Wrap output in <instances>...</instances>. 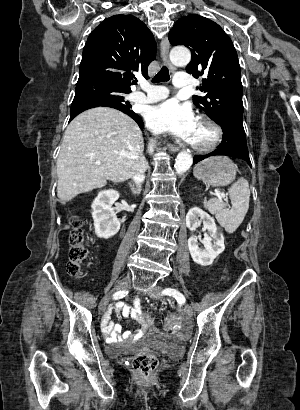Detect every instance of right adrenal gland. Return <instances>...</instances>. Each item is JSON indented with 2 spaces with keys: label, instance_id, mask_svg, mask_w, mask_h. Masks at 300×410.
<instances>
[{
  "label": "right adrenal gland",
  "instance_id": "obj_1",
  "mask_svg": "<svg viewBox=\"0 0 300 410\" xmlns=\"http://www.w3.org/2000/svg\"><path fill=\"white\" fill-rule=\"evenodd\" d=\"M128 185H129V187H130V189H131L132 194L138 195V194L141 193V186L135 187L131 182H129Z\"/></svg>",
  "mask_w": 300,
  "mask_h": 410
}]
</instances>
